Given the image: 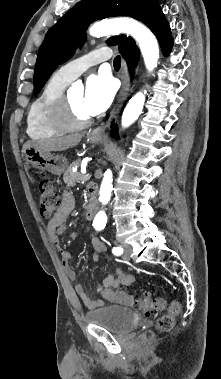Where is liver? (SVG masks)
Wrapping results in <instances>:
<instances>
[{
	"label": "liver",
	"instance_id": "obj_1",
	"mask_svg": "<svg viewBox=\"0 0 221 379\" xmlns=\"http://www.w3.org/2000/svg\"><path fill=\"white\" fill-rule=\"evenodd\" d=\"M81 138V134H71L47 140L27 141L23 145L22 152L25 153V150L30 147H34L45 152L64 151L78 145V143L81 141Z\"/></svg>",
	"mask_w": 221,
	"mask_h": 379
}]
</instances>
